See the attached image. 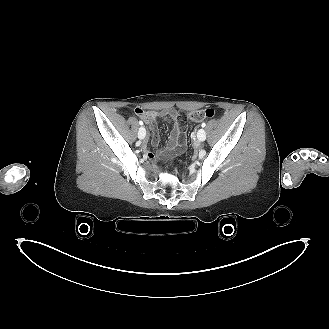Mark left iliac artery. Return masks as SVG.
I'll return each mask as SVG.
<instances>
[{"mask_svg": "<svg viewBox=\"0 0 329 329\" xmlns=\"http://www.w3.org/2000/svg\"><path fill=\"white\" fill-rule=\"evenodd\" d=\"M205 126H206V123L203 122V123L201 124V127L204 128Z\"/></svg>", "mask_w": 329, "mask_h": 329, "instance_id": "left-iliac-artery-1", "label": "left iliac artery"}]
</instances>
